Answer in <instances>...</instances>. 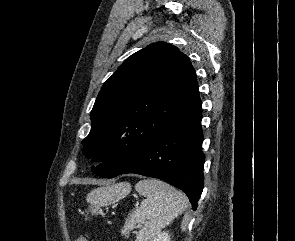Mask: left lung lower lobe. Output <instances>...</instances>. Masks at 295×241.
I'll list each match as a JSON object with an SVG mask.
<instances>
[{
    "label": "left lung lower lobe",
    "instance_id": "obj_1",
    "mask_svg": "<svg viewBox=\"0 0 295 241\" xmlns=\"http://www.w3.org/2000/svg\"><path fill=\"white\" fill-rule=\"evenodd\" d=\"M201 104L161 131L109 177L135 173L154 177L181 189L193 210L204 186Z\"/></svg>",
    "mask_w": 295,
    "mask_h": 241
}]
</instances>
